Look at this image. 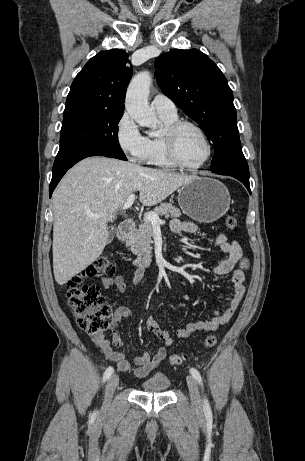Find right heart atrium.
Returning a JSON list of instances; mask_svg holds the SVG:
<instances>
[{"label":"right heart atrium","mask_w":305,"mask_h":461,"mask_svg":"<svg viewBox=\"0 0 305 461\" xmlns=\"http://www.w3.org/2000/svg\"><path fill=\"white\" fill-rule=\"evenodd\" d=\"M116 140L131 161L141 162L146 151V137L142 135L128 112L123 113L116 125Z\"/></svg>","instance_id":"d8ad5b80"}]
</instances>
